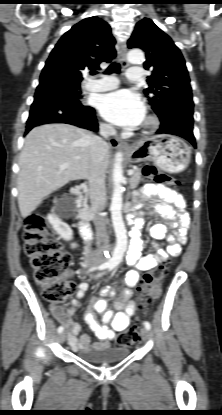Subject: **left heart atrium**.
I'll return each mask as SVG.
<instances>
[{
	"label": "left heart atrium",
	"instance_id": "39dd6f15",
	"mask_svg": "<svg viewBox=\"0 0 222 415\" xmlns=\"http://www.w3.org/2000/svg\"><path fill=\"white\" fill-rule=\"evenodd\" d=\"M99 112L104 119L115 125L132 128L143 121L145 107L137 93L121 89L101 97Z\"/></svg>",
	"mask_w": 222,
	"mask_h": 415
}]
</instances>
